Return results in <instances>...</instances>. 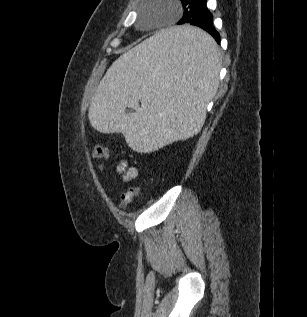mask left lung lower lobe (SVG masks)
I'll return each instance as SVG.
<instances>
[{
  "label": "left lung lower lobe",
  "mask_w": 307,
  "mask_h": 317,
  "mask_svg": "<svg viewBox=\"0 0 307 317\" xmlns=\"http://www.w3.org/2000/svg\"><path fill=\"white\" fill-rule=\"evenodd\" d=\"M207 0H202L197 6L195 13L185 19L183 23L198 26L209 33L215 41L220 44V36L215 27L213 26V15L207 8ZM171 49L174 50H188L197 56L203 58H211L213 56V46L202 40L188 37V36H172L168 41Z\"/></svg>",
  "instance_id": "left-lung-lower-lobe-1"
}]
</instances>
